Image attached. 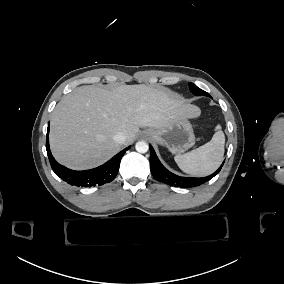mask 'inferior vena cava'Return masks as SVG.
I'll use <instances>...</instances> for the list:
<instances>
[{
	"instance_id": "602c4592",
	"label": "inferior vena cava",
	"mask_w": 284,
	"mask_h": 284,
	"mask_svg": "<svg viewBox=\"0 0 284 284\" xmlns=\"http://www.w3.org/2000/svg\"><path fill=\"white\" fill-rule=\"evenodd\" d=\"M113 140L116 143L123 144L126 140V136L122 132H119L116 135H114Z\"/></svg>"
}]
</instances>
